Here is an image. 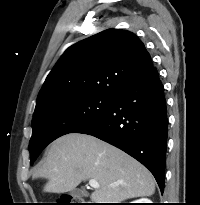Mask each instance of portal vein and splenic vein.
<instances>
[{"label":"portal vein and splenic vein","mask_w":200,"mask_h":205,"mask_svg":"<svg viewBox=\"0 0 200 205\" xmlns=\"http://www.w3.org/2000/svg\"><path fill=\"white\" fill-rule=\"evenodd\" d=\"M89 185L92 188H99L100 187L99 183L96 180H94V179L89 180Z\"/></svg>","instance_id":"obj_1"}]
</instances>
